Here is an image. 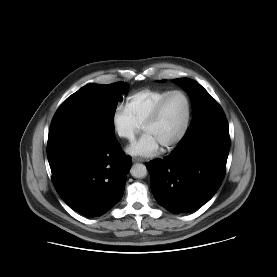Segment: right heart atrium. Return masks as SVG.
<instances>
[{
	"label": "right heart atrium",
	"mask_w": 277,
	"mask_h": 277,
	"mask_svg": "<svg viewBox=\"0 0 277 277\" xmlns=\"http://www.w3.org/2000/svg\"><path fill=\"white\" fill-rule=\"evenodd\" d=\"M112 126L115 133L122 139L132 141L141 130L139 125L129 113L126 106L119 105L112 115Z\"/></svg>",
	"instance_id": "obj_1"
}]
</instances>
